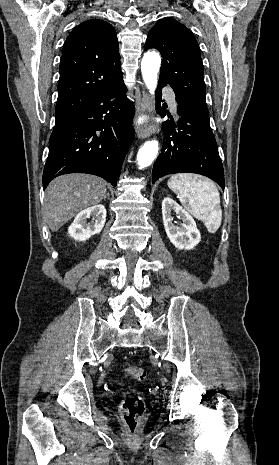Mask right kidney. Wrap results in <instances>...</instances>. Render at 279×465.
<instances>
[{
    "label": "right kidney",
    "mask_w": 279,
    "mask_h": 465,
    "mask_svg": "<svg viewBox=\"0 0 279 465\" xmlns=\"http://www.w3.org/2000/svg\"><path fill=\"white\" fill-rule=\"evenodd\" d=\"M92 217V221L87 219ZM106 221V209L104 205L99 204L86 208L79 212L73 223L68 228L71 238L77 241H86L92 235L99 234Z\"/></svg>",
    "instance_id": "obj_1"
}]
</instances>
